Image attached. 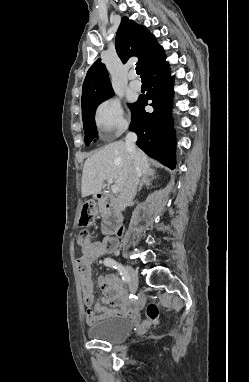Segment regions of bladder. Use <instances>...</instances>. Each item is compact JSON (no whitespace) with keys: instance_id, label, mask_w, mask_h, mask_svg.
<instances>
[{"instance_id":"1","label":"bladder","mask_w":249,"mask_h":382,"mask_svg":"<svg viewBox=\"0 0 249 382\" xmlns=\"http://www.w3.org/2000/svg\"><path fill=\"white\" fill-rule=\"evenodd\" d=\"M134 329V322L128 317H112L100 320L88 328V335L94 340L117 344L125 341Z\"/></svg>"}]
</instances>
